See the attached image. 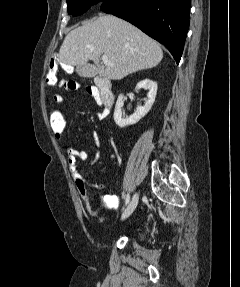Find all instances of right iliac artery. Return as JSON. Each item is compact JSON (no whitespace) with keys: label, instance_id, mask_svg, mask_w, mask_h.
I'll list each match as a JSON object with an SVG mask.
<instances>
[{"label":"right iliac artery","instance_id":"obj_1","mask_svg":"<svg viewBox=\"0 0 240 287\" xmlns=\"http://www.w3.org/2000/svg\"><path fill=\"white\" fill-rule=\"evenodd\" d=\"M129 201H130V196H129V194H127L125 197V205H127L129 203Z\"/></svg>","mask_w":240,"mask_h":287}]
</instances>
